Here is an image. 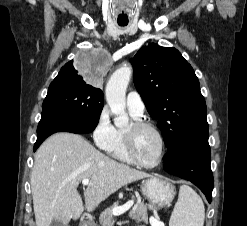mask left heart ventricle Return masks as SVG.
<instances>
[{
    "instance_id": "obj_1",
    "label": "left heart ventricle",
    "mask_w": 247,
    "mask_h": 226,
    "mask_svg": "<svg viewBox=\"0 0 247 226\" xmlns=\"http://www.w3.org/2000/svg\"><path fill=\"white\" fill-rule=\"evenodd\" d=\"M134 148L138 158L144 163H154L160 155V141L150 129L144 128L134 134Z\"/></svg>"
}]
</instances>
